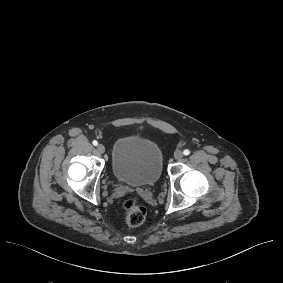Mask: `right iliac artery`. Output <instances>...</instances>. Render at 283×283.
<instances>
[{
	"label": "right iliac artery",
	"mask_w": 283,
	"mask_h": 283,
	"mask_svg": "<svg viewBox=\"0 0 283 283\" xmlns=\"http://www.w3.org/2000/svg\"><path fill=\"white\" fill-rule=\"evenodd\" d=\"M92 143H93L94 146H96L98 144V142L96 140H94Z\"/></svg>",
	"instance_id": "obj_1"
}]
</instances>
